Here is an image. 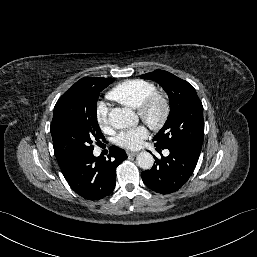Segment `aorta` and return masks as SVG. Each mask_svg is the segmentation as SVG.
<instances>
[{"label": "aorta", "instance_id": "1", "mask_svg": "<svg viewBox=\"0 0 257 257\" xmlns=\"http://www.w3.org/2000/svg\"><path fill=\"white\" fill-rule=\"evenodd\" d=\"M109 124L116 129L135 126L138 116L129 108H113L108 114ZM137 164L144 170L151 169L154 164L153 156L146 151L140 152L136 158Z\"/></svg>", "mask_w": 257, "mask_h": 257}]
</instances>
